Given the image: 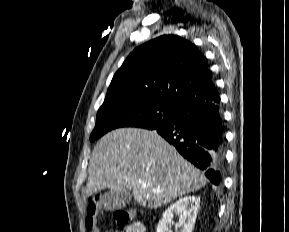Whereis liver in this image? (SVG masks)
Wrapping results in <instances>:
<instances>
[{
    "instance_id": "liver-1",
    "label": "liver",
    "mask_w": 289,
    "mask_h": 232,
    "mask_svg": "<svg viewBox=\"0 0 289 232\" xmlns=\"http://www.w3.org/2000/svg\"><path fill=\"white\" fill-rule=\"evenodd\" d=\"M88 173L86 196L105 188L132 191L134 199L150 209L207 183L204 174L157 132L138 128H120L104 135L93 149ZM158 189L160 192L154 191Z\"/></svg>"
}]
</instances>
